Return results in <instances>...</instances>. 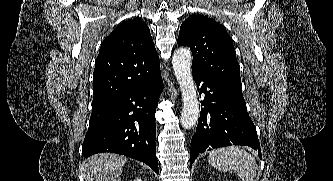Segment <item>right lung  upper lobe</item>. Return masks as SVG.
<instances>
[{
  "label": "right lung upper lobe",
  "instance_id": "1",
  "mask_svg": "<svg viewBox=\"0 0 333 181\" xmlns=\"http://www.w3.org/2000/svg\"><path fill=\"white\" fill-rule=\"evenodd\" d=\"M160 78L159 57L148 26L132 19L101 44L95 62L92 110Z\"/></svg>",
  "mask_w": 333,
  "mask_h": 181
}]
</instances>
